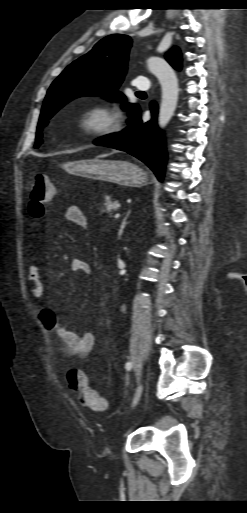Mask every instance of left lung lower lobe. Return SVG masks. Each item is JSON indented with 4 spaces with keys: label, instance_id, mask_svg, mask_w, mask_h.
<instances>
[{
    "label": "left lung lower lobe",
    "instance_id": "left-lung-lower-lobe-1",
    "mask_svg": "<svg viewBox=\"0 0 247 513\" xmlns=\"http://www.w3.org/2000/svg\"><path fill=\"white\" fill-rule=\"evenodd\" d=\"M181 66L176 69L180 70ZM157 105L151 103L152 114L156 116ZM129 126L118 134L101 137L95 145L111 147L125 151L144 162L162 181L167 159L165 143L161 131L156 127L155 119L142 123L138 106L132 111Z\"/></svg>",
    "mask_w": 247,
    "mask_h": 513
}]
</instances>
